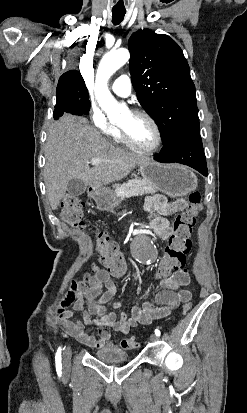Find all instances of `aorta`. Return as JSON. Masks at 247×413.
Masks as SVG:
<instances>
[{
	"mask_svg": "<svg viewBox=\"0 0 247 413\" xmlns=\"http://www.w3.org/2000/svg\"><path fill=\"white\" fill-rule=\"evenodd\" d=\"M129 58V51L121 48L105 54L99 64L96 74L95 94L100 107L107 113L109 118L118 117L124 111V107L112 96L107 87V82L120 67L129 61Z\"/></svg>",
	"mask_w": 247,
	"mask_h": 413,
	"instance_id": "aorta-1",
	"label": "aorta"
}]
</instances>
